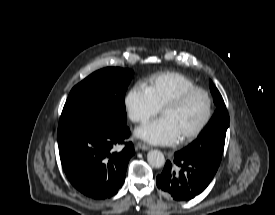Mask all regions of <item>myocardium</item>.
I'll return each mask as SVG.
<instances>
[{"mask_svg":"<svg viewBox=\"0 0 275 215\" xmlns=\"http://www.w3.org/2000/svg\"><path fill=\"white\" fill-rule=\"evenodd\" d=\"M195 93H202L207 100V112L204 117V119L201 121V123L191 132L186 134L185 136L180 138L181 143H185L188 141L193 140L197 136H199L202 131L208 126L210 123L212 116H213V111H214V103L211 94L209 91L202 87H191L188 89H185L178 93L176 96L173 98L169 99L162 107H161V112L167 108H176L182 105L190 96H192Z\"/></svg>","mask_w":275,"mask_h":215,"instance_id":"obj_1","label":"myocardium"}]
</instances>
